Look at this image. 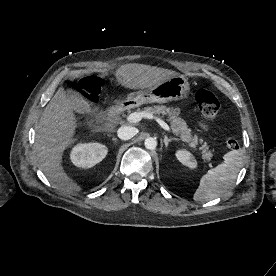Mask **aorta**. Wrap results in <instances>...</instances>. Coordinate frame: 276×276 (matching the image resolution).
Returning <instances> with one entry per match:
<instances>
[{
  "label": "aorta",
  "mask_w": 276,
  "mask_h": 276,
  "mask_svg": "<svg viewBox=\"0 0 276 276\" xmlns=\"http://www.w3.org/2000/svg\"><path fill=\"white\" fill-rule=\"evenodd\" d=\"M144 145L148 150H154L157 147V141L156 139L149 137L145 139Z\"/></svg>",
  "instance_id": "1"
}]
</instances>
